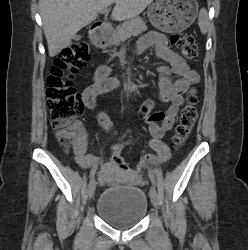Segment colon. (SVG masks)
<instances>
[{
	"label": "colon",
	"mask_w": 248,
	"mask_h": 250,
	"mask_svg": "<svg viewBox=\"0 0 248 250\" xmlns=\"http://www.w3.org/2000/svg\"><path fill=\"white\" fill-rule=\"evenodd\" d=\"M171 42L181 52L185 60H198V46L194 37L189 33H174ZM90 61L89 45L77 42L65 48L54 60L46 82V94L51 114L52 126L59 142L68 149L75 138L74 121L84 111V103L80 93L73 86L74 75ZM197 97L188 96L186 104L181 110L179 122L173 137L174 147L181 146L190 135L197 118ZM121 142L113 146L111 162L122 170H127V163L120 152L125 146Z\"/></svg>",
	"instance_id": "1"
}]
</instances>
